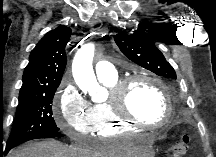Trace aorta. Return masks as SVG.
<instances>
[{
	"label": "aorta",
	"instance_id": "1",
	"mask_svg": "<svg viewBox=\"0 0 216 157\" xmlns=\"http://www.w3.org/2000/svg\"><path fill=\"white\" fill-rule=\"evenodd\" d=\"M93 56L94 46L92 44L82 46L74 57L72 72L78 87L83 92H90L92 99L99 101L104 98V94L93 71Z\"/></svg>",
	"mask_w": 216,
	"mask_h": 157
}]
</instances>
